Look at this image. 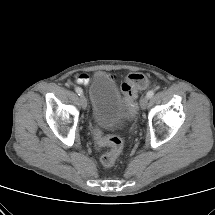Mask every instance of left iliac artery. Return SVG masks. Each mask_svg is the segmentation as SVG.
Returning <instances> with one entry per match:
<instances>
[{
    "instance_id": "obj_1",
    "label": "left iliac artery",
    "mask_w": 215,
    "mask_h": 215,
    "mask_svg": "<svg viewBox=\"0 0 215 215\" xmlns=\"http://www.w3.org/2000/svg\"><path fill=\"white\" fill-rule=\"evenodd\" d=\"M153 95H154V91H153V90L148 91L147 94H146V96H147L148 98H152Z\"/></svg>"
}]
</instances>
